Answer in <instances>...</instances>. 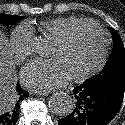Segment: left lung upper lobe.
<instances>
[{
  "label": "left lung upper lobe",
  "instance_id": "5c2ea615",
  "mask_svg": "<svg viewBox=\"0 0 125 125\" xmlns=\"http://www.w3.org/2000/svg\"><path fill=\"white\" fill-rule=\"evenodd\" d=\"M113 35V50L110 58L99 75L89 80L91 84L99 83L110 78L125 75V49L118 32L110 28Z\"/></svg>",
  "mask_w": 125,
  "mask_h": 125
}]
</instances>
